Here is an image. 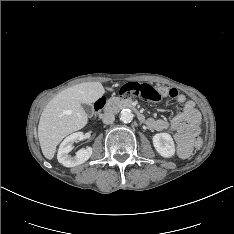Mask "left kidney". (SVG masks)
Segmentation results:
<instances>
[{
    "instance_id": "left-kidney-1",
    "label": "left kidney",
    "mask_w": 234,
    "mask_h": 234,
    "mask_svg": "<svg viewBox=\"0 0 234 234\" xmlns=\"http://www.w3.org/2000/svg\"><path fill=\"white\" fill-rule=\"evenodd\" d=\"M155 150L165 158H170L175 154V144L173 138L168 133H157L153 136Z\"/></svg>"
}]
</instances>
